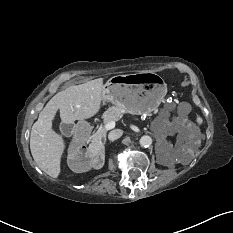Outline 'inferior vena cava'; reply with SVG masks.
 <instances>
[{"label": "inferior vena cava", "mask_w": 233, "mask_h": 233, "mask_svg": "<svg viewBox=\"0 0 233 233\" xmlns=\"http://www.w3.org/2000/svg\"><path fill=\"white\" fill-rule=\"evenodd\" d=\"M121 136H122V130L116 129V130H113V131H111V132L109 133L108 139H109L110 141H114V140L120 138Z\"/></svg>", "instance_id": "1"}]
</instances>
